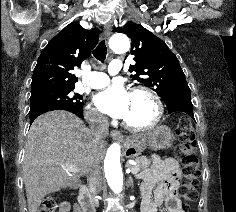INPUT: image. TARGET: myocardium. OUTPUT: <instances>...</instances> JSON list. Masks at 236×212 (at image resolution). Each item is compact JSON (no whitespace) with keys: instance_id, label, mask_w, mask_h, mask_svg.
I'll list each match as a JSON object with an SVG mask.
<instances>
[{"instance_id":"obj_1","label":"myocardium","mask_w":236,"mask_h":212,"mask_svg":"<svg viewBox=\"0 0 236 212\" xmlns=\"http://www.w3.org/2000/svg\"><path fill=\"white\" fill-rule=\"evenodd\" d=\"M134 93H141L145 96H147L154 104L155 107V114L152 120L144 125H133L125 120H123L122 124L123 126L131 131V132H145L152 128H154L161 120L163 113H164V107L163 103L160 99V97L151 89L148 87L142 86V85H136L131 88L130 94Z\"/></svg>"}]
</instances>
